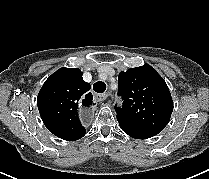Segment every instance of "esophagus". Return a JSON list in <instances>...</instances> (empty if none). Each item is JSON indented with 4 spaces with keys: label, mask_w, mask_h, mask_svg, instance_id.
<instances>
[{
    "label": "esophagus",
    "mask_w": 209,
    "mask_h": 179,
    "mask_svg": "<svg viewBox=\"0 0 209 179\" xmlns=\"http://www.w3.org/2000/svg\"><path fill=\"white\" fill-rule=\"evenodd\" d=\"M110 92H106L102 95H97L94 97H87L83 98L81 101V108H82V119L84 122L89 123L93 119V106L95 105L96 101H103L105 100L108 96H110Z\"/></svg>",
    "instance_id": "34e87169"
}]
</instances>
